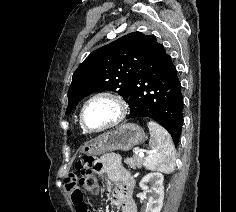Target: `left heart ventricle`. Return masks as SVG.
Wrapping results in <instances>:
<instances>
[{
    "mask_svg": "<svg viewBox=\"0 0 236 212\" xmlns=\"http://www.w3.org/2000/svg\"><path fill=\"white\" fill-rule=\"evenodd\" d=\"M115 115V105L106 99H99L86 108L84 122L88 128L97 129L110 122Z\"/></svg>",
    "mask_w": 236,
    "mask_h": 212,
    "instance_id": "b2bd125f",
    "label": "left heart ventricle"
}]
</instances>
